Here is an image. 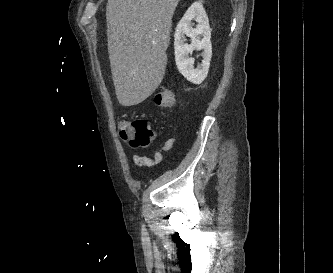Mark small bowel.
<instances>
[{
    "label": "small bowel",
    "mask_w": 333,
    "mask_h": 273,
    "mask_svg": "<svg viewBox=\"0 0 333 273\" xmlns=\"http://www.w3.org/2000/svg\"><path fill=\"white\" fill-rule=\"evenodd\" d=\"M175 143V139L174 138H168L155 152L153 157H147L144 155H139V154H134L132 156V159L134 161V163L138 164V165H146V166H155L157 164H159L162 159H163V155L165 152L170 151Z\"/></svg>",
    "instance_id": "1"
}]
</instances>
